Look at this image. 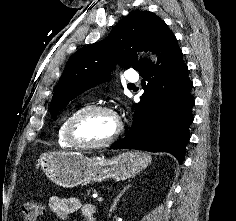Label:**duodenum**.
<instances>
[{
	"label": "duodenum",
	"instance_id": "1",
	"mask_svg": "<svg viewBox=\"0 0 236 221\" xmlns=\"http://www.w3.org/2000/svg\"><path fill=\"white\" fill-rule=\"evenodd\" d=\"M89 221H97V219L93 216V217L89 218Z\"/></svg>",
	"mask_w": 236,
	"mask_h": 221
}]
</instances>
